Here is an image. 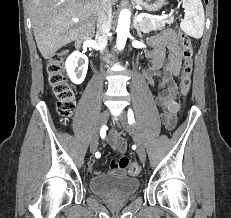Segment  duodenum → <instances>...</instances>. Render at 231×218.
I'll use <instances>...</instances> for the list:
<instances>
[{"instance_id": "obj_1", "label": "duodenum", "mask_w": 231, "mask_h": 218, "mask_svg": "<svg viewBox=\"0 0 231 218\" xmlns=\"http://www.w3.org/2000/svg\"><path fill=\"white\" fill-rule=\"evenodd\" d=\"M84 41H85V37L80 38L76 41L75 46L79 51L84 50Z\"/></svg>"}]
</instances>
